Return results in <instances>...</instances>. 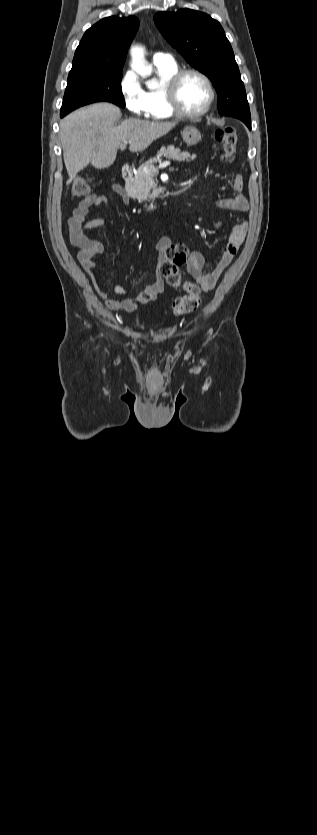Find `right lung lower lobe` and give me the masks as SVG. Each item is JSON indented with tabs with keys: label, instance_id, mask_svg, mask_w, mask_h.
Wrapping results in <instances>:
<instances>
[{
	"label": "right lung lower lobe",
	"instance_id": "1",
	"mask_svg": "<svg viewBox=\"0 0 317 835\" xmlns=\"http://www.w3.org/2000/svg\"><path fill=\"white\" fill-rule=\"evenodd\" d=\"M65 115H66V114H64V113H60V117H64Z\"/></svg>",
	"mask_w": 317,
	"mask_h": 835
}]
</instances>
